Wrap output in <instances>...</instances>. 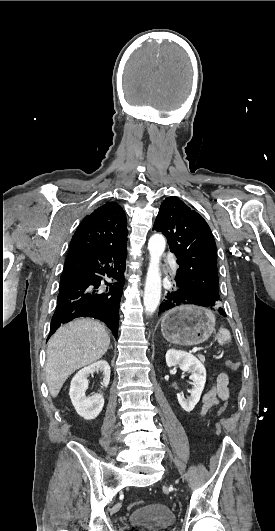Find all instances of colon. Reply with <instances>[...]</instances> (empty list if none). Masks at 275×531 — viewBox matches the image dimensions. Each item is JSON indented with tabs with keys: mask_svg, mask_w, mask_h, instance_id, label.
<instances>
[{
	"mask_svg": "<svg viewBox=\"0 0 275 531\" xmlns=\"http://www.w3.org/2000/svg\"><path fill=\"white\" fill-rule=\"evenodd\" d=\"M226 366L231 370L237 371L240 367V364L236 360L229 359L226 361ZM227 411H228V403L226 402V400H223L219 403V405L216 408V411H215L216 418H222L224 414L227 413ZM140 504H142L141 500H135L130 504V506H138Z\"/></svg>",
	"mask_w": 275,
	"mask_h": 531,
	"instance_id": "5ec220e1",
	"label": "colon"
}]
</instances>
